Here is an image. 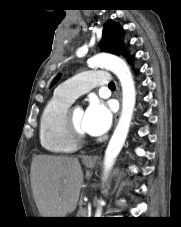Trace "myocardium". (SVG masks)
Here are the masks:
<instances>
[{
	"mask_svg": "<svg viewBox=\"0 0 181 227\" xmlns=\"http://www.w3.org/2000/svg\"><path fill=\"white\" fill-rule=\"evenodd\" d=\"M73 109L74 108H68L66 112V117H65V125L71 138L78 144L86 140V135L75 125L72 117Z\"/></svg>",
	"mask_w": 181,
	"mask_h": 227,
	"instance_id": "1",
	"label": "myocardium"
}]
</instances>
